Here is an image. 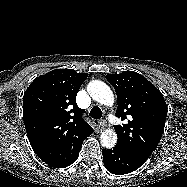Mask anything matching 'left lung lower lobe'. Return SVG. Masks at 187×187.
I'll use <instances>...</instances> for the list:
<instances>
[{"label": "left lung lower lobe", "instance_id": "obj_1", "mask_svg": "<svg viewBox=\"0 0 187 187\" xmlns=\"http://www.w3.org/2000/svg\"><path fill=\"white\" fill-rule=\"evenodd\" d=\"M106 169L116 175L131 173L141 167L147 159L136 156L116 145L113 149L102 151Z\"/></svg>", "mask_w": 187, "mask_h": 187}]
</instances>
